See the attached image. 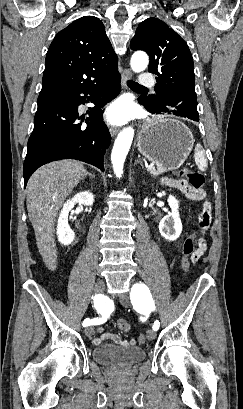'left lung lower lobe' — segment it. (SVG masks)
Masks as SVG:
<instances>
[{
	"label": "left lung lower lobe",
	"mask_w": 243,
	"mask_h": 409,
	"mask_svg": "<svg viewBox=\"0 0 243 409\" xmlns=\"http://www.w3.org/2000/svg\"><path fill=\"white\" fill-rule=\"evenodd\" d=\"M139 102L152 114H159L161 112L174 114L176 116L186 117L188 119L199 121L197 108L188 102L178 104L177 101L165 99L160 103L152 105L143 97H140Z\"/></svg>",
	"instance_id": "left-lung-lower-lobe-1"
}]
</instances>
